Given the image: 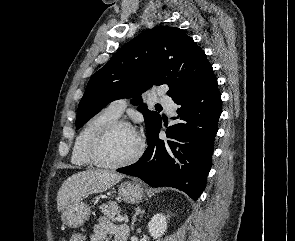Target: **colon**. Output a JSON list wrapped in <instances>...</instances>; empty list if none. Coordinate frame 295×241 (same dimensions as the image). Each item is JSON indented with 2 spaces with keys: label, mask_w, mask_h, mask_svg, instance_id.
Masks as SVG:
<instances>
[{
  "label": "colon",
  "mask_w": 295,
  "mask_h": 241,
  "mask_svg": "<svg viewBox=\"0 0 295 241\" xmlns=\"http://www.w3.org/2000/svg\"><path fill=\"white\" fill-rule=\"evenodd\" d=\"M85 240H86V237L82 234H77L70 239V241H85Z\"/></svg>",
  "instance_id": "colon-1"
}]
</instances>
